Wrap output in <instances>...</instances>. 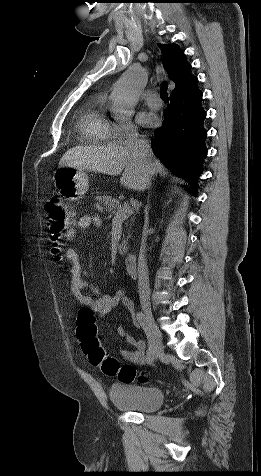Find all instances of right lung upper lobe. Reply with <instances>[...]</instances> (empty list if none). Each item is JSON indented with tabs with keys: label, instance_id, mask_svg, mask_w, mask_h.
<instances>
[{
	"label": "right lung upper lobe",
	"instance_id": "1",
	"mask_svg": "<svg viewBox=\"0 0 261 476\" xmlns=\"http://www.w3.org/2000/svg\"><path fill=\"white\" fill-rule=\"evenodd\" d=\"M163 52V65L170 79L175 83L173 92L183 88L194 77L191 65L186 61L185 54L176 45L158 44Z\"/></svg>",
	"mask_w": 261,
	"mask_h": 476
}]
</instances>
